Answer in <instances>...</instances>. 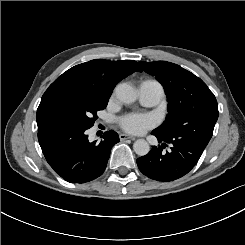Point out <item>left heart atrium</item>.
<instances>
[{"label": "left heart atrium", "mask_w": 245, "mask_h": 245, "mask_svg": "<svg viewBox=\"0 0 245 245\" xmlns=\"http://www.w3.org/2000/svg\"><path fill=\"white\" fill-rule=\"evenodd\" d=\"M153 124L152 119L144 114H129L122 118V127L130 133L140 134L145 132Z\"/></svg>", "instance_id": "obj_1"}]
</instances>
